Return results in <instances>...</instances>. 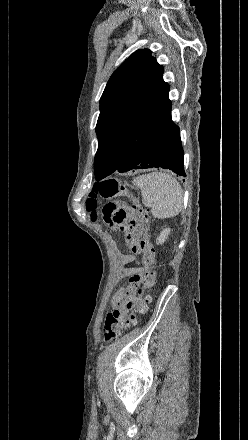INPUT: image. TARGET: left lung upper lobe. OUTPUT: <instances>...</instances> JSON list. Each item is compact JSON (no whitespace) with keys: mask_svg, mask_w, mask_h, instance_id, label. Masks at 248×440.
Here are the masks:
<instances>
[{"mask_svg":"<svg viewBox=\"0 0 248 440\" xmlns=\"http://www.w3.org/2000/svg\"><path fill=\"white\" fill-rule=\"evenodd\" d=\"M148 49L138 50L112 74L100 99L94 173L112 174L126 153L171 116L163 67Z\"/></svg>","mask_w":248,"mask_h":440,"instance_id":"1","label":"left lung upper lobe"}]
</instances>
